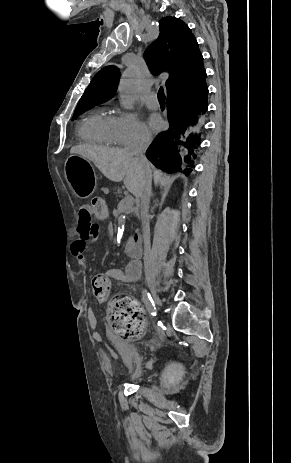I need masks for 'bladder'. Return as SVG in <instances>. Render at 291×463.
I'll return each mask as SVG.
<instances>
[{
    "mask_svg": "<svg viewBox=\"0 0 291 463\" xmlns=\"http://www.w3.org/2000/svg\"><path fill=\"white\" fill-rule=\"evenodd\" d=\"M117 341V340H116ZM116 349L122 358V360L127 364V374L130 377H133V369L136 364L137 358V349L130 340H121L117 341Z\"/></svg>",
    "mask_w": 291,
    "mask_h": 463,
    "instance_id": "bladder-1",
    "label": "bladder"
}]
</instances>
